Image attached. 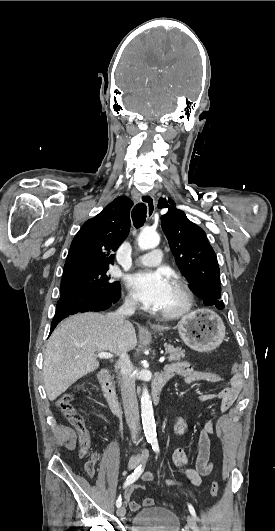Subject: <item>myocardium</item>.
<instances>
[{"label":"myocardium","mask_w":275,"mask_h":531,"mask_svg":"<svg viewBox=\"0 0 275 531\" xmlns=\"http://www.w3.org/2000/svg\"><path fill=\"white\" fill-rule=\"evenodd\" d=\"M174 285L180 290L182 294V304L178 309L172 310V311H165L160 312L156 309L157 313L167 319H176L179 317L184 316L186 313H188L193 305V295L190 287L186 282L181 280L178 277H174L173 281Z\"/></svg>","instance_id":"1"}]
</instances>
